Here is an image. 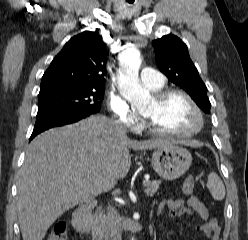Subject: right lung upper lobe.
Wrapping results in <instances>:
<instances>
[{
  "mask_svg": "<svg viewBox=\"0 0 248 240\" xmlns=\"http://www.w3.org/2000/svg\"><path fill=\"white\" fill-rule=\"evenodd\" d=\"M106 46L97 32L71 38L44 73L39 95L70 89H104Z\"/></svg>",
  "mask_w": 248,
  "mask_h": 240,
  "instance_id": "cb5924a9",
  "label": "right lung upper lobe"
}]
</instances>
